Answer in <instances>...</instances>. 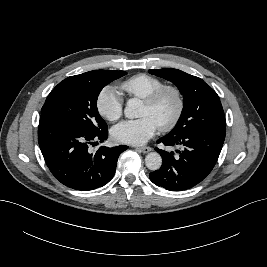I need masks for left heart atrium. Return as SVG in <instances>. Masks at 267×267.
<instances>
[{"mask_svg":"<svg viewBox=\"0 0 267 267\" xmlns=\"http://www.w3.org/2000/svg\"><path fill=\"white\" fill-rule=\"evenodd\" d=\"M158 125L149 117L123 121L112 128V138L119 143L141 145L152 138Z\"/></svg>","mask_w":267,"mask_h":267,"instance_id":"1","label":"left heart atrium"}]
</instances>
